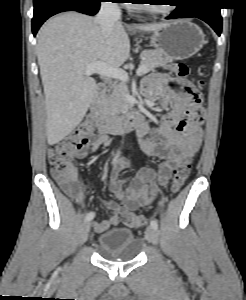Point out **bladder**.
Here are the masks:
<instances>
[{
    "label": "bladder",
    "mask_w": 246,
    "mask_h": 300,
    "mask_svg": "<svg viewBox=\"0 0 246 300\" xmlns=\"http://www.w3.org/2000/svg\"><path fill=\"white\" fill-rule=\"evenodd\" d=\"M97 248L101 254L120 261H131L138 257L141 242L133 232L124 227H115L100 233Z\"/></svg>",
    "instance_id": "31cf9c89"
}]
</instances>
